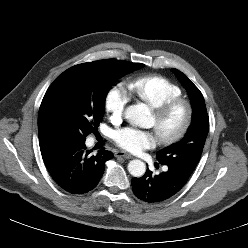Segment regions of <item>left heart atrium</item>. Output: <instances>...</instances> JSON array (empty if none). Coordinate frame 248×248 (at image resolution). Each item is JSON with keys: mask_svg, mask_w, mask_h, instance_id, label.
<instances>
[{"mask_svg": "<svg viewBox=\"0 0 248 248\" xmlns=\"http://www.w3.org/2000/svg\"><path fill=\"white\" fill-rule=\"evenodd\" d=\"M115 141L124 150L138 153L144 149L154 147L158 142V135L153 130L125 127L117 132Z\"/></svg>", "mask_w": 248, "mask_h": 248, "instance_id": "39dd6f15", "label": "left heart atrium"}]
</instances>
